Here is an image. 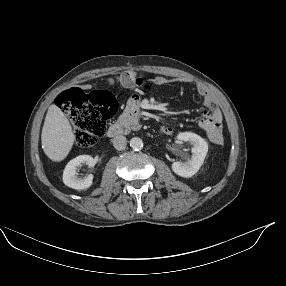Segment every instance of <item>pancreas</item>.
<instances>
[{
	"label": "pancreas",
	"mask_w": 286,
	"mask_h": 286,
	"mask_svg": "<svg viewBox=\"0 0 286 286\" xmlns=\"http://www.w3.org/2000/svg\"><path fill=\"white\" fill-rule=\"evenodd\" d=\"M131 113V108H127L125 109V111L123 112V114L120 116V120L125 119L126 117H128V115Z\"/></svg>",
	"instance_id": "1"
}]
</instances>
